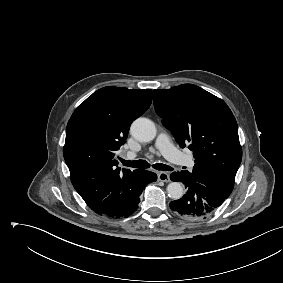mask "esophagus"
<instances>
[{
	"label": "esophagus",
	"mask_w": 283,
	"mask_h": 283,
	"mask_svg": "<svg viewBox=\"0 0 283 283\" xmlns=\"http://www.w3.org/2000/svg\"><path fill=\"white\" fill-rule=\"evenodd\" d=\"M158 180L163 182H170V176L167 172L161 171L158 173Z\"/></svg>",
	"instance_id": "esophagus-1"
}]
</instances>
